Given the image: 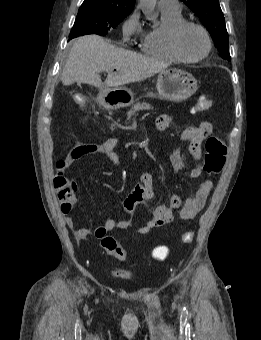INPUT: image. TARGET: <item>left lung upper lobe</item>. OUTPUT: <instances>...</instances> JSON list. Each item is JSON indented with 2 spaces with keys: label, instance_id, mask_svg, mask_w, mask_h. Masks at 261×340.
I'll return each mask as SVG.
<instances>
[{
  "label": "left lung upper lobe",
  "instance_id": "1",
  "mask_svg": "<svg viewBox=\"0 0 261 340\" xmlns=\"http://www.w3.org/2000/svg\"><path fill=\"white\" fill-rule=\"evenodd\" d=\"M199 17L210 32L220 55L231 60L225 18L218 0H181Z\"/></svg>",
  "mask_w": 261,
  "mask_h": 340
}]
</instances>
